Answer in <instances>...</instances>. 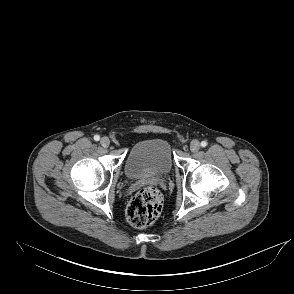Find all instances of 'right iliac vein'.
<instances>
[{
  "label": "right iliac vein",
  "mask_w": 294,
  "mask_h": 294,
  "mask_svg": "<svg viewBox=\"0 0 294 294\" xmlns=\"http://www.w3.org/2000/svg\"><path fill=\"white\" fill-rule=\"evenodd\" d=\"M100 144L104 147L107 148L110 145V140L108 137H103L100 140Z\"/></svg>",
  "instance_id": "63e3f726"
}]
</instances>
